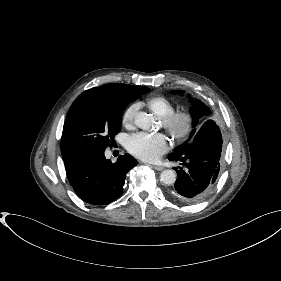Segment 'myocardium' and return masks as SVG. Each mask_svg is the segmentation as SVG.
I'll use <instances>...</instances> for the list:
<instances>
[{"label":"myocardium","instance_id":"1","mask_svg":"<svg viewBox=\"0 0 281 281\" xmlns=\"http://www.w3.org/2000/svg\"><path fill=\"white\" fill-rule=\"evenodd\" d=\"M163 128L176 142L189 136L194 126V117L188 110H176L160 118Z\"/></svg>","mask_w":281,"mask_h":281}]
</instances>
